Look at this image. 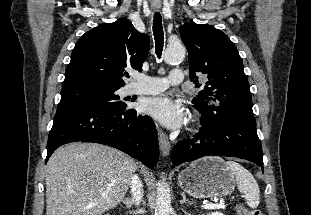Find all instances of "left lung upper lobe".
<instances>
[{
  "instance_id": "left-lung-upper-lobe-1",
  "label": "left lung upper lobe",
  "mask_w": 311,
  "mask_h": 215,
  "mask_svg": "<svg viewBox=\"0 0 311 215\" xmlns=\"http://www.w3.org/2000/svg\"><path fill=\"white\" fill-rule=\"evenodd\" d=\"M180 35L189 53L190 81L201 86L197 73L208 79L192 100L203 119L216 122L232 115L254 116L243 62L228 36L211 25L194 22L181 26Z\"/></svg>"
}]
</instances>
